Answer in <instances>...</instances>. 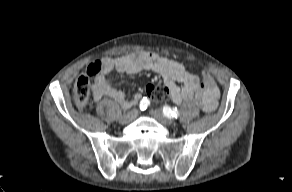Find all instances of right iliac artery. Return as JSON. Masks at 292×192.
Segmentation results:
<instances>
[{
  "instance_id": "82829eb1",
  "label": "right iliac artery",
  "mask_w": 292,
  "mask_h": 192,
  "mask_svg": "<svg viewBox=\"0 0 292 192\" xmlns=\"http://www.w3.org/2000/svg\"><path fill=\"white\" fill-rule=\"evenodd\" d=\"M149 104H150L149 100H147V98H143L140 101V109L145 110Z\"/></svg>"
}]
</instances>
